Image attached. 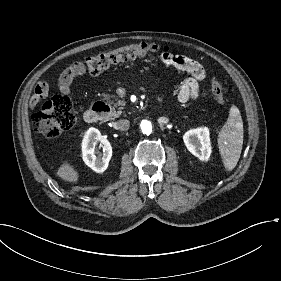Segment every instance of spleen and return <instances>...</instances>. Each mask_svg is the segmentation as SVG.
<instances>
[{"mask_svg": "<svg viewBox=\"0 0 281 281\" xmlns=\"http://www.w3.org/2000/svg\"><path fill=\"white\" fill-rule=\"evenodd\" d=\"M243 121L236 106L230 108L229 117L218 136V146L224 167L232 171L240 158L243 146Z\"/></svg>", "mask_w": 281, "mask_h": 281, "instance_id": "3e777b00", "label": "spleen"}]
</instances>
